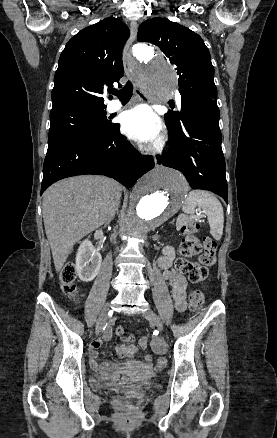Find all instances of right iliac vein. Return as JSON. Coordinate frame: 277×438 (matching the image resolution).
I'll return each instance as SVG.
<instances>
[{"label": "right iliac vein", "instance_id": "63e3f726", "mask_svg": "<svg viewBox=\"0 0 277 438\" xmlns=\"http://www.w3.org/2000/svg\"><path fill=\"white\" fill-rule=\"evenodd\" d=\"M109 310H110L109 305H106L103 308V310L98 318L97 325H96V334L97 335L100 334V332L102 331V328L107 320Z\"/></svg>", "mask_w": 277, "mask_h": 438}]
</instances>
